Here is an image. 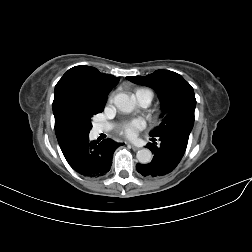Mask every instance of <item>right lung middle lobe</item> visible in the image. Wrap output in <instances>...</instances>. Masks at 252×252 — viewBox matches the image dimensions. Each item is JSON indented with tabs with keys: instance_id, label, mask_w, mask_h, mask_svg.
<instances>
[{
	"instance_id": "dd1d6c3e",
	"label": "right lung middle lobe",
	"mask_w": 252,
	"mask_h": 252,
	"mask_svg": "<svg viewBox=\"0 0 252 252\" xmlns=\"http://www.w3.org/2000/svg\"><path fill=\"white\" fill-rule=\"evenodd\" d=\"M105 105L90 106L78 101L68 105L67 117L72 131L76 135L89 134L92 124L91 118L104 110Z\"/></svg>"
}]
</instances>
